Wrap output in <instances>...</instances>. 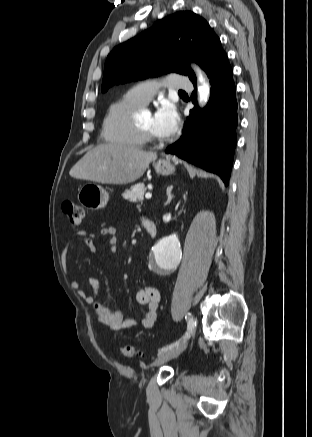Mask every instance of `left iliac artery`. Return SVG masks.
<instances>
[{
  "label": "left iliac artery",
  "instance_id": "44dca946",
  "mask_svg": "<svg viewBox=\"0 0 312 437\" xmlns=\"http://www.w3.org/2000/svg\"><path fill=\"white\" fill-rule=\"evenodd\" d=\"M195 326H196V321L189 315L188 316V332L186 333L184 338L188 337L190 335V333H192ZM179 342H180V340L176 341L173 344L167 345L166 347L162 348L161 351L163 352V351H166L168 349H171V348L177 346L179 344Z\"/></svg>",
  "mask_w": 312,
  "mask_h": 437
}]
</instances>
